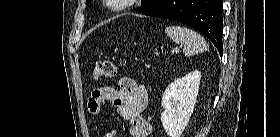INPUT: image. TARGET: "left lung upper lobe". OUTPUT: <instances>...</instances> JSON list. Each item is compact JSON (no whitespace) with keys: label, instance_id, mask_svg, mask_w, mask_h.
I'll return each mask as SVG.
<instances>
[{"label":"left lung upper lobe","instance_id":"left-lung-upper-lobe-1","mask_svg":"<svg viewBox=\"0 0 280 137\" xmlns=\"http://www.w3.org/2000/svg\"><path fill=\"white\" fill-rule=\"evenodd\" d=\"M91 0H86V3L88 4ZM162 0H142V6L139 8H136L135 10L141 13H145L149 10H151L153 7H155L157 4H159Z\"/></svg>","mask_w":280,"mask_h":137}]
</instances>
